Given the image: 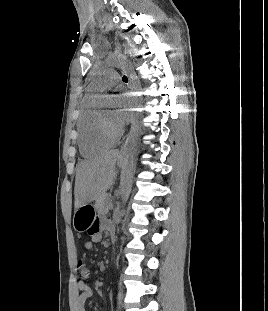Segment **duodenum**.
Listing matches in <instances>:
<instances>
[{
  "instance_id": "obj_1",
  "label": "duodenum",
  "mask_w": 268,
  "mask_h": 311,
  "mask_svg": "<svg viewBox=\"0 0 268 311\" xmlns=\"http://www.w3.org/2000/svg\"><path fill=\"white\" fill-rule=\"evenodd\" d=\"M110 236H111V239H112V240H115V239H116V233H115V230H114V229H112V230L110 231Z\"/></svg>"
}]
</instances>
